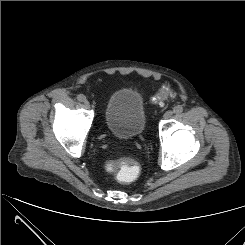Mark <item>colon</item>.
Segmentation results:
<instances>
[{"mask_svg":"<svg viewBox=\"0 0 245 245\" xmlns=\"http://www.w3.org/2000/svg\"><path fill=\"white\" fill-rule=\"evenodd\" d=\"M160 96L166 98H173L175 96V93L171 89L164 87L160 91ZM106 170L114 174L116 179L120 183L127 184L135 180L137 166L132 160H124L118 164H107Z\"/></svg>","mask_w":245,"mask_h":245,"instance_id":"5ec220e1","label":"colon"}]
</instances>
